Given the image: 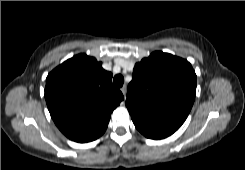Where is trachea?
<instances>
[{"label": "trachea", "mask_w": 245, "mask_h": 170, "mask_svg": "<svg viewBox=\"0 0 245 170\" xmlns=\"http://www.w3.org/2000/svg\"><path fill=\"white\" fill-rule=\"evenodd\" d=\"M113 83L116 87L120 88L122 87L123 83H124V78L122 75L118 74L113 78Z\"/></svg>", "instance_id": "3493384b"}]
</instances>
